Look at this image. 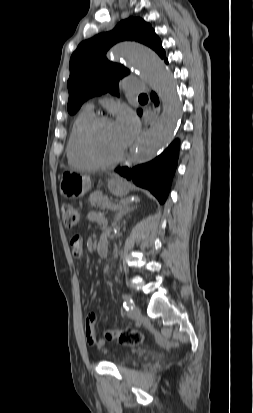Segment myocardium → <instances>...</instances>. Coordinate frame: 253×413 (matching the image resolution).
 <instances>
[{"instance_id": "f54148a6", "label": "myocardium", "mask_w": 253, "mask_h": 413, "mask_svg": "<svg viewBox=\"0 0 253 413\" xmlns=\"http://www.w3.org/2000/svg\"><path fill=\"white\" fill-rule=\"evenodd\" d=\"M111 119L107 116H94L86 125L83 131V146L88 157L98 166H113L123 160L125 149L113 158L102 157L96 150L94 145V135L99 126L111 123Z\"/></svg>"}]
</instances>
